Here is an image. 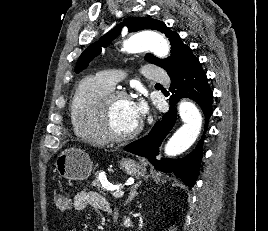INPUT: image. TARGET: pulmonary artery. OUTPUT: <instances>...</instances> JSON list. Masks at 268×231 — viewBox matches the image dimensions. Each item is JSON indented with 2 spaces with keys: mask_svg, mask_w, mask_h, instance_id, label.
Listing matches in <instances>:
<instances>
[{
  "mask_svg": "<svg viewBox=\"0 0 268 231\" xmlns=\"http://www.w3.org/2000/svg\"><path fill=\"white\" fill-rule=\"evenodd\" d=\"M143 70L146 79L150 82H164L167 79V74L159 66L147 64ZM101 79L111 87H114L120 80L118 75L110 69L101 72Z\"/></svg>",
  "mask_w": 268,
  "mask_h": 231,
  "instance_id": "1",
  "label": "pulmonary artery"
}]
</instances>
